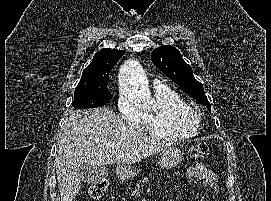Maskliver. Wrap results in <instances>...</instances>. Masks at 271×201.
Instances as JSON below:
<instances>
[{"instance_id":"liver-1","label":"liver","mask_w":271,"mask_h":201,"mask_svg":"<svg viewBox=\"0 0 271 201\" xmlns=\"http://www.w3.org/2000/svg\"><path fill=\"white\" fill-rule=\"evenodd\" d=\"M119 143L120 148L114 147ZM171 144L169 140L150 137L141 128L126 124L107 107L70 111L57 141L55 159L61 201H73L79 193L81 165L133 164Z\"/></svg>"}]
</instances>
